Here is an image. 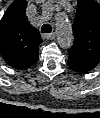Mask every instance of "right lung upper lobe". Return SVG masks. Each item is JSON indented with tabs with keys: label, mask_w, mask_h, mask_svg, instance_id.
<instances>
[{
	"label": "right lung upper lobe",
	"mask_w": 100,
	"mask_h": 118,
	"mask_svg": "<svg viewBox=\"0 0 100 118\" xmlns=\"http://www.w3.org/2000/svg\"><path fill=\"white\" fill-rule=\"evenodd\" d=\"M25 0H15L0 21V53L16 69H26L37 62L39 31L30 25Z\"/></svg>",
	"instance_id": "right-lung-upper-lobe-1"
}]
</instances>
